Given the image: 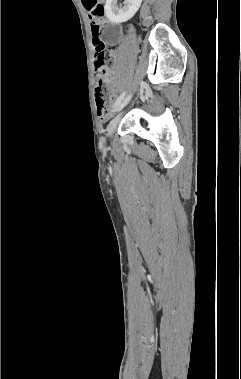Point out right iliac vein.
Wrapping results in <instances>:
<instances>
[{
  "instance_id": "1",
  "label": "right iliac vein",
  "mask_w": 241,
  "mask_h": 379,
  "mask_svg": "<svg viewBox=\"0 0 241 379\" xmlns=\"http://www.w3.org/2000/svg\"><path fill=\"white\" fill-rule=\"evenodd\" d=\"M131 99V95H128L115 109L116 112H120L126 105L127 103L130 101ZM116 124H117V121L116 120H113L110 125L108 126V134L111 135L115 128H116Z\"/></svg>"
}]
</instances>
